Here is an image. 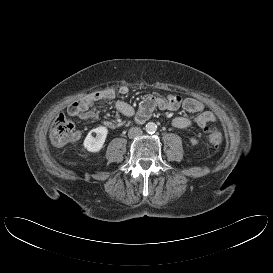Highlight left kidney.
I'll list each match as a JSON object with an SVG mask.
<instances>
[{
	"label": "left kidney",
	"mask_w": 273,
	"mask_h": 273,
	"mask_svg": "<svg viewBox=\"0 0 273 273\" xmlns=\"http://www.w3.org/2000/svg\"><path fill=\"white\" fill-rule=\"evenodd\" d=\"M192 145H196L197 144V140L195 138H191L190 139Z\"/></svg>",
	"instance_id": "5707ae66"
}]
</instances>
